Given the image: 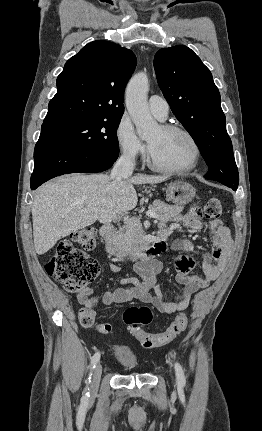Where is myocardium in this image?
Segmentation results:
<instances>
[{"mask_svg":"<svg viewBox=\"0 0 262 431\" xmlns=\"http://www.w3.org/2000/svg\"><path fill=\"white\" fill-rule=\"evenodd\" d=\"M159 127L161 128V130H163L165 132H178V133L185 135L189 139V141L192 145V149H193L192 158H191L189 164L186 166L167 167V166H163V165L158 164L154 160L152 153H151V150L149 148L148 160H147L148 165L154 170H157V171L163 172V173H168V174H187V173L193 171L197 167L199 160L201 158V148H200V145H199L196 137L193 135V133L191 131H189L187 128H185L184 126H181L178 124L166 123V124L160 125Z\"/></svg>","mask_w":262,"mask_h":431,"instance_id":"1","label":"myocardium"}]
</instances>
